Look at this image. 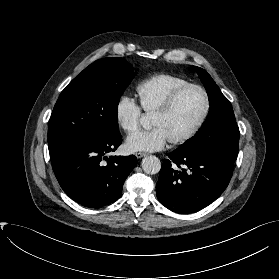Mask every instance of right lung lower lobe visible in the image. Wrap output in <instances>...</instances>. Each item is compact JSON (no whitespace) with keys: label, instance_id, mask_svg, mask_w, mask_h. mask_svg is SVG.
<instances>
[{"label":"right lung lower lobe","instance_id":"98d812e1","mask_svg":"<svg viewBox=\"0 0 279 279\" xmlns=\"http://www.w3.org/2000/svg\"><path fill=\"white\" fill-rule=\"evenodd\" d=\"M121 142L118 133L50 152L53 171L64 192L89 208H101L118 200L125 179L137 164L134 155L106 157Z\"/></svg>","mask_w":279,"mask_h":279}]
</instances>
